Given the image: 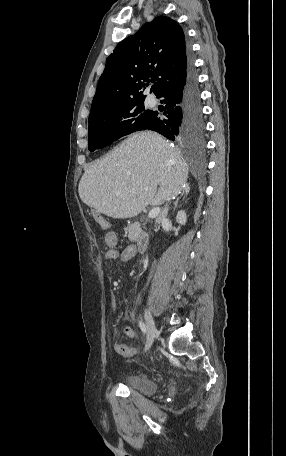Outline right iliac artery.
I'll return each mask as SVG.
<instances>
[{"instance_id": "right-iliac-artery-1", "label": "right iliac artery", "mask_w": 286, "mask_h": 456, "mask_svg": "<svg viewBox=\"0 0 286 456\" xmlns=\"http://www.w3.org/2000/svg\"><path fill=\"white\" fill-rule=\"evenodd\" d=\"M139 327L144 334L147 332L146 325L142 321H139Z\"/></svg>"}]
</instances>
